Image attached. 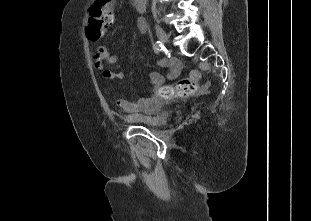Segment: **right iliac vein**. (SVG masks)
Here are the masks:
<instances>
[{"mask_svg": "<svg viewBox=\"0 0 311 221\" xmlns=\"http://www.w3.org/2000/svg\"><path fill=\"white\" fill-rule=\"evenodd\" d=\"M156 29V34L158 39L163 43V44H167L168 43V35L166 34V32L163 30V28L159 25H156L155 27Z\"/></svg>", "mask_w": 311, "mask_h": 221, "instance_id": "1", "label": "right iliac vein"}]
</instances>
